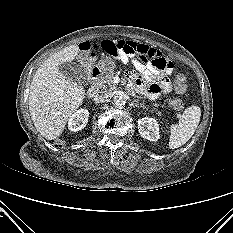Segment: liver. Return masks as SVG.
<instances>
[{"label":"liver","instance_id":"obj_1","mask_svg":"<svg viewBox=\"0 0 233 233\" xmlns=\"http://www.w3.org/2000/svg\"><path fill=\"white\" fill-rule=\"evenodd\" d=\"M79 53L70 45L50 56L36 71L30 85L29 110L38 132L47 139L59 137L69 118L85 98V89L59 72V65L72 62Z\"/></svg>","mask_w":233,"mask_h":233}]
</instances>
